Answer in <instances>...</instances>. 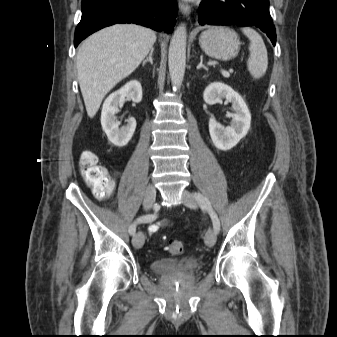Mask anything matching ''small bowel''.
I'll return each mask as SVG.
<instances>
[{"instance_id":"c3829d8e","label":"small bowel","mask_w":337,"mask_h":337,"mask_svg":"<svg viewBox=\"0 0 337 337\" xmlns=\"http://www.w3.org/2000/svg\"><path fill=\"white\" fill-rule=\"evenodd\" d=\"M157 228H158V225L157 224H153V225H151L149 227V232L153 233V232H155L157 230Z\"/></svg>"}]
</instances>
